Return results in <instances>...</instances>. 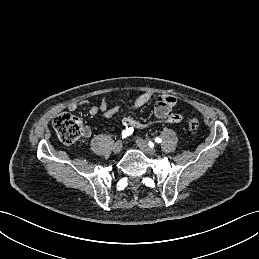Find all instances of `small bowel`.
I'll return each instance as SVG.
<instances>
[{
	"mask_svg": "<svg viewBox=\"0 0 259 259\" xmlns=\"http://www.w3.org/2000/svg\"><path fill=\"white\" fill-rule=\"evenodd\" d=\"M152 97L151 93L144 92L137 96L134 102L131 105V110H137L140 107L144 106L150 101ZM87 100L83 101H73L69 103L68 108L71 111L77 110L80 106L87 104ZM176 104V98L169 94H162L157 97L155 102L154 114L159 122L167 123H179L182 121V115L180 113H174L173 108ZM98 112H101L102 118L105 120L111 119L117 112L118 107L109 108L108 99L103 98L98 105L92 106L89 109L90 115H95ZM122 124L125 127H132L133 129H142L145 125L139 123L131 116L127 115L123 118ZM83 137H89L91 135V128L88 125H85L82 129Z\"/></svg>",
	"mask_w": 259,
	"mask_h": 259,
	"instance_id": "c3829d8e",
	"label": "small bowel"
}]
</instances>
